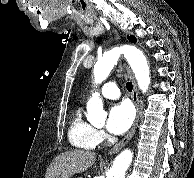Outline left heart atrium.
Masks as SVG:
<instances>
[{"label":"left heart atrium","mask_w":194,"mask_h":178,"mask_svg":"<svg viewBox=\"0 0 194 178\" xmlns=\"http://www.w3.org/2000/svg\"><path fill=\"white\" fill-rule=\"evenodd\" d=\"M134 120V111L127 102H121L110 108L107 129L110 133L120 135L126 132Z\"/></svg>","instance_id":"1"}]
</instances>
